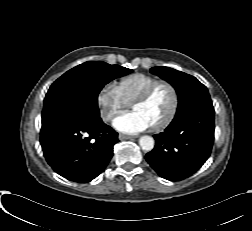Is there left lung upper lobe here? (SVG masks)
I'll use <instances>...</instances> for the list:
<instances>
[{
  "mask_svg": "<svg viewBox=\"0 0 252 231\" xmlns=\"http://www.w3.org/2000/svg\"><path fill=\"white\" fill-rule=\"evenodd\" d=\"M151 73L167 80L178 94V109L181 111L193 104H210L211 98L207 88L195 77L169 67H153Z\"/></svg>",
  "mask_w": 252,
  "mask_h": 231,
  "instance_id": "5c2ea615",
  "label": "left lung upper lobe"
}]
</instances>
